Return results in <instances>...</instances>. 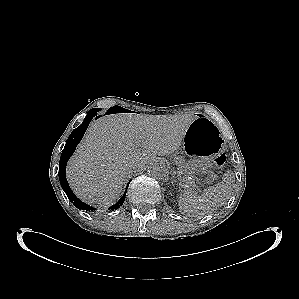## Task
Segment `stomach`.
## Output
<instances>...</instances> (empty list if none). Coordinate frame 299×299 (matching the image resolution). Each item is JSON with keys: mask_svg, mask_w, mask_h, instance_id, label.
I'll return each mask as SVG.
<instances>
[{"mask_svg": "<svg viewBox=\"0 0 299 299\" xmlns=\"http://www.w3.org/2000/svg\"><path fill=\"white\" fill-rule=\"evenodd\" d=\"M224 146L215 122L202 115L196 116L183 139V147L192 151L191 159L184 164L183 171L197 175L205 173L211 159L221 154Z\"/></svg>", "mask_w": 299, "mask_h": 299, "instance_id": "obj_1", "label": "stomach"}]
</instances>
